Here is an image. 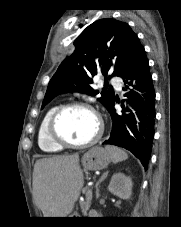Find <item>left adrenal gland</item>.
I'll use <instances>...</instances> for the list:
<instances>
[{
  "mask_svg": "<svg viewBox=\"0 0 181 227\" xmlns=\"http://www.w3.org/2000/svg\"><path fill=\"white\" fill-rule=\"evenodd\" d=\"M108 175V171H106L101 178L98 180V182L96 183V198H99L100 194H99V184L107 177Z\"/></svg>",
  "mask_w": 181,
  "mask_h": 227,
  "instance_id": "obj_1",
  "label": "left adrenal gland"
}]
</instances>
